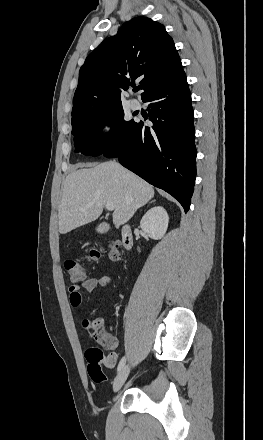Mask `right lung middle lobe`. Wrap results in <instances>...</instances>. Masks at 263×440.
I'll use <instances>...</instances> for the list:
<instances>
[{"mask_svg":"<svg viewBox=\"0 0 263 440\" xmlns=\"http://www.w3.org/2000/svg\"><path fill=\"white\" fill-rule=\"evenodd\" d=\"M122 106L95 110L72 119V134L76 152L98 156L108 146L118 144L136 122L125 121ZM105 124L111 125L107 134H102Z\"/></svg>","mask_w":263,"mask_h":440,"instance_id":"dd1d6c3e","label":"right lung middle lobe"}]
</instances>
